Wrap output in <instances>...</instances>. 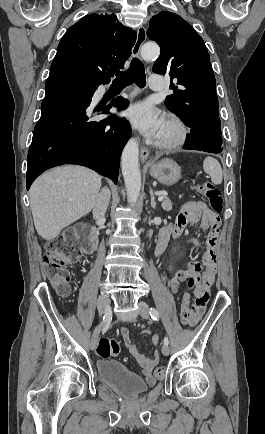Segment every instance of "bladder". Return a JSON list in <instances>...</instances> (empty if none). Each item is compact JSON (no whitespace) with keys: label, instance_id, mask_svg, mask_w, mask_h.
I'll return each instance as SVG.
<instances>
[{"label":"bladder","instance_id":"obj_1","mask_svg":"<svg viewBox=\"0 0 265 434\" xmlns=\"http://www.w3.org/2000/svg\"><path fill=\"white\" fill-rule=\"evenodd\" d=\"M97 372L108 387L125 398H136L148 389L144 380L119 361L102 359L97 362Z\"/></svg>","mask_w":265,"mask_h":434}]
</instances>
